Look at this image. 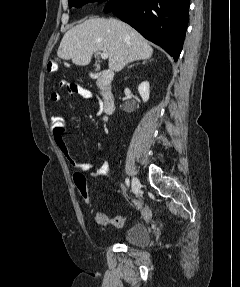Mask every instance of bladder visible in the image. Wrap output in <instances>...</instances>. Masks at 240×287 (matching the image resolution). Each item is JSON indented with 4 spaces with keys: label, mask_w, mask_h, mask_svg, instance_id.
I'll list each match as a JSON object with an SVG mask.
<instances>
[{
    "label": "bladder",
    "mask_w": 240,
    "mask_h": 287,
    "mask_svg": "<svg viewBox=\"0 0 240 287\" xmlns=\"http://www.w3.org/2000/svg\"><path fill=\"white\" fill-rule=\"evenodd\" d=\"M121 239L134 246L147 245L150 242V233L146 226L134 224L123 233Z\"/></svg>",
    "instance_id": "1"
}]
</instances>
